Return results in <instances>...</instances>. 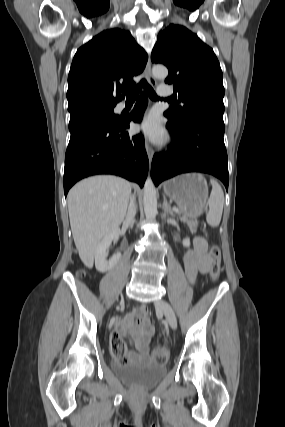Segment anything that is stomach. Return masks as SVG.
Listing matches in <instances>:
<instances>
[{
    "instance_id": "1",
    "label": "stomach",
    "mask_w": 285,
    "mask_h": 427,
    "mask_svg": "<svg viewBox=\"0 0 285 427\" xmlns=\"http://www.w3.org/2000/svg\"><path fill=\"white\" fill-rule=\"evenodd\" d=\"M164 194L173 200L189 218L198 217L208 199L205 178L198 173H189L172 178L164 183Z\"/></svg>"
}]
</instances>
